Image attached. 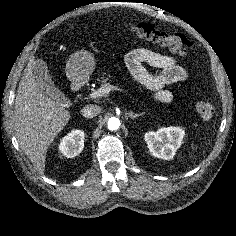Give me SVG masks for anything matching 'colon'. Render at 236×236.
<instances>
[{
    "mask_svg": "<svg viewBox=\"0 0 236 236\" xmlns=\"http://www.w3.org/2000/svg\"><path fill=\"white\" fill-rule=\"evenodd\" d=\"M128 28L142 42L167 48L179 54H187L192 49L191 41L182 34L163 32L145 23H131ZM197 112L201 118L210 119L215 113V107L211 102L201 101L197 104Z\"/></svg>",
    "mask_w": 236,
    "mask_h": 236,
    "instance_id": "5ec220e1",
    "label": "colon"
}]
</instances>
